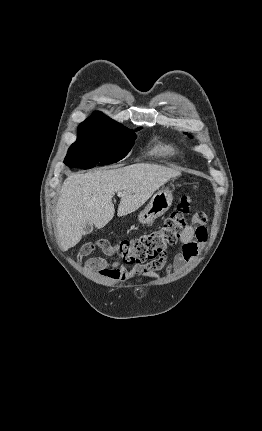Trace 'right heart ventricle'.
<instances>
[{"instance_id": "e07e8e85", "label": "right heart ventricle", "mask_w": 262, "mask_h": 431, "mask_svg": "<svg viewBox=\"0 0 262 431\" xmlns=\"http://www.w3.org/2000/svg\"><path fill=\"white\" fill-rule=\"evenodd\" d=\"M153 153L157 156L169 159H177L179 157L178 150L170 144H158L154 147Z\"/></svg>"}]
</instances>
